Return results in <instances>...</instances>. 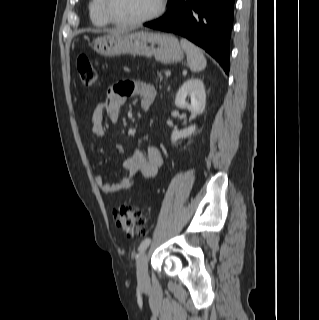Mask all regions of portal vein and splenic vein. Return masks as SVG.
<instances>
[{
  "label": "portal vein and splenic vein",
  "mask_w": 319,
  "mask_h": 320,
  "mask_svg": "<svg viewBox=\"0 0 319 320\" xmlns=\"http://www.w3.org/2000/svg\"><path fill=\"white\" fill-rule=\"evenodd\" d=\"M165 75L168 77V76L171 75V72H170V71H166V72H165Z\"/></svg>",
  "instance_id": "18ae733b"
}]
</instances>
